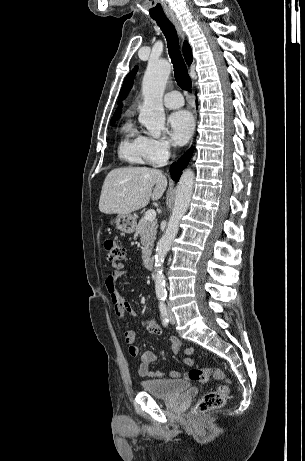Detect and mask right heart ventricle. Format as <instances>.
I'll list each match as a JSON object with an SVG mask.
<instances>
[{
	"label": "right heart ventricle",
	"instance_id": "obj_1",
	"mask_svg": "<svg viewBox=\"0 0 305 461\" xmlns=\"http://www.w3.org/2000/svg\"><path fill=\"white\" fill-rule=\"evenodd\" d=\"M120 158L129 164L150 163L146 149V137L141 135L128 121L122 127V138L118 148Z\"/></svg>",
	"mask_w": 305,
	"mask_h": 461
}]
</instances>
